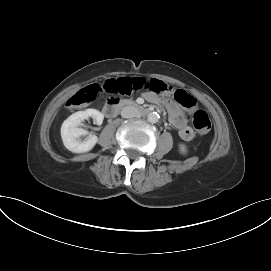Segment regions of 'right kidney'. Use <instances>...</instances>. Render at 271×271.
I'll list each match as a JSON object with an SVG mask.
<instances>
[{"label":"right kidney","mask_w":271,"mask_h":271,"mask_svg":"<svg viewBox=\"0 0 271 271\" xmlns=\"http://www.w3.org/2000/svg\"><path fill=\"white\" fill-rule=\"evenodd\" d=\"M92 117L96 124L101 125L104 115L96 109H86L78 111L70 115L62 124L61 137L64 146L73 153H85L90 151L97 143L98 138L95 135H89L84 140L81 136H85L87 131L79 128L84 119Z\"/></svg>","instance_id":"right-kidney-1"}]
</instances>
